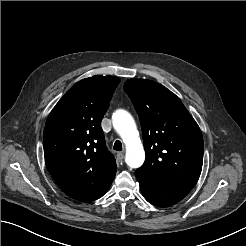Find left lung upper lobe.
<instances>
[{
  "label": "left lung upper lobe",
  "mask_w": 246,
  "mask_h": 246,
  "mask_svg": "<svg viewBox=\"0 0 246 246\" xmlns=\"http://www.w3.org/2000/svg\"><path fill=\"white\" fill-rule=\"evenodd\" d=\"M124 90L139 115L146 153L137 173L192 189L203 164V137L181 100L166 87L130 79Z\"/></svg>",
  "instance_id": "left-lung-upper-lobe-1"
}]
</instances>
